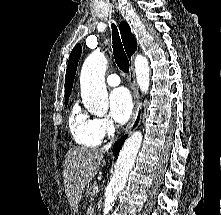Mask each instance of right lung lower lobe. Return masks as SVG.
<instances>
[{
  "instance_id": "right-lung-lower-lobe-1",
  "label": "right lung lower lobe",
  "mask_w": 221,
  "mask_h": 215,
  "mask_svg": "<svg viewBox=\"0 0 221 215\" xmlns=\"http://www.w3.org/2000/svg\"><path fill=\"white\" fill-rule=\"evenodd\" d=\"M138 119H139V117L136 120V124L138 123ZM126 137H127L126 135L121 137V139H119L118 142H116L114 144V148H113V154L114 155H118L119 154V150L121 148V145L124 143V140L126 139Z\"/></svg>"
}]
</instances>
